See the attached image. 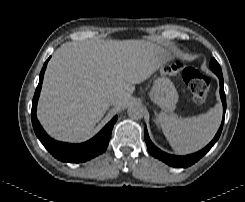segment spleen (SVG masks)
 Instances as JSON below:
<instances>
[{
    "mask_svg": "<svg viewBox=\"0 0 245 202\" xmlns=\"http://www.w3.org/2000/svg\"><path fill=\"white\" fill-rule=\"evenodd\" d=\"M222 118L220 104L198 116L179 118L161 112L158 122L173 150L188 154L207 145L217 132Z\"/></svg>",
    "mask_w": 245,
    "mask_h": 202,
    "instance_id": "3e777b00",
    "label": "spleen"
}]
</instances>
